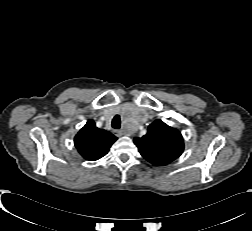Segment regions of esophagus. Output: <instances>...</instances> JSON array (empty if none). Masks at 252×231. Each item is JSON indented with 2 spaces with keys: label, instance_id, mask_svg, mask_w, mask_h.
<instances>
[{
  "label": "esophagus",
  "instance_id": "34e87169",
  "mask_svg": "<svg viewBox=\"0 0 252 231\" xmlns=\"http://www.w3.org/2000/svg\"><path fill=\"white\" fill-rule=\"evenodd\" d=\"M124 131L123 130H116L115 131V135L118 136V137H121L122 135H124Z\"/></svg>",
  "mask_w": 252,
  "mask_h": 231
}]
</instances>
